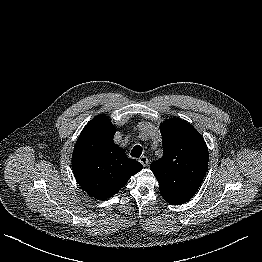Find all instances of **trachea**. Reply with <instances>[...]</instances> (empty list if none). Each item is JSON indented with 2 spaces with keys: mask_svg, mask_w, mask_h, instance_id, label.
Wrapping results in <instances>:
<instances>
[{
  "mask_svg": "<svg viewBox=\"0 0 262 262\" xmlns=\"http://www.w3.org/2000/svg\"><path fill=\"white\" fill-rule=\"evenodd\" d=\"M142 152H143L142 147H141L140 145H136V146L131 150L130 155H131L132 157L138 158V157L141 156Z\"/></svg>",
  "mask_w": 262,
  "mask_h": 262,
  "instance_id": "obj_1",
  "label": "trachea"
}]
</instances>
